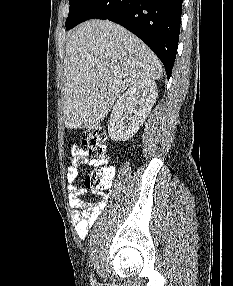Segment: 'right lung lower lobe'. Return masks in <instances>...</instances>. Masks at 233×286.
I'll return each instance as SVG.
<instances>
[{
	"mask_svg": "<svg viewBox=\"0 0 233 286\" xmlns=\"http://www.w3.org/2000/svg\"><path fill=\"white\" fill-rule=\"evenodd\" d=\"M182 1L91 0L68 30L93 18L116 22L153 50L170 78L178 47Z\"/></svg>",
	"mask_w": 233,
	"mask_h": 286,
	"instance_id": "1",
	"label": "right lung lower lobe"
}]
</instances>
